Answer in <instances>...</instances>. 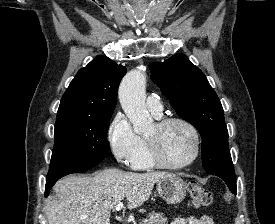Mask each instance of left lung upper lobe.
<instances>
[{"mask_svg": "<svg viewBox=\"0 0 275 224\" xmlns=\"http://www.w3.org/2000/svg\"><path fill=\"white\" fill-rule=\"evenodd\" d=\"M150 71L152 81L169 99L177 114L200 132L206 172L222 179H235L224 111L203 72L183 54L152 63Z\"/></svg>", "mask_w": 275, "mask_h": 224, "instance_id": "1", "label": "left lung upper lobe"}]
</instances>
